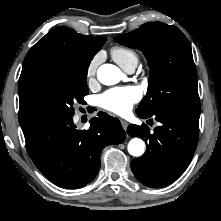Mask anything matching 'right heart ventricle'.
Here are the masks:
<instances>
[{"mask_svg": "<svg viewBox=\"0 0 221 221\" xmlns=\"http://www.w3.org/2000/svg\"><path fill=\"white\" fill-rule=\"evenodd\" d=\"M113 60L119 64L123 69H126L130 65H137L138 55L135 50L124 47L115 46L110 51Z\"/></svg>", "mask_w": 221, "mask_h": 221, "instance_id": "obj_1", "label": "right heart ventricle"}]
</instances>
